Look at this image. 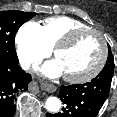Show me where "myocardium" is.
I'll use <instances>...</instances> for the list:
<instances>
[{"label": "myocardium", "mask_w": 117, "mask_h": 117, "mask_svg": "<svg viewBox=\"0 0 117 117\" xmlns=\"http://www.w3.org/2000/svg\"><path fill=\"white\" fill-rule=\"evenodd\" d=\"M85 33H93L98 37L100 44H101V48H102L101 57L98 63L96 64V66L93 69H91L89 72L83 75H80V76L64 75V79L67 82H70V83L88 82L92 80L93 78H95L102 71V69L104 68L106 64L107 57H108V47H107L106 40L100 31L92 27L79 28V29H75L67 33L54 45L53 47L54 56L56 57L60 50L69 47L79 36Z\"/></svg>", "instance_id": "1"}]
</instances>
